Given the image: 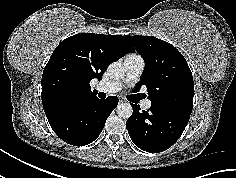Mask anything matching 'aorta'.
Returning <instances> with one entry per match:
<instances>
[{
    "mask_svg": "<svg viewBox=\"0 0 236 178\" xmlns=\"http://www.w3.org/2000/svg\"><path fill=\"white\" fill-rule=\"evenodd\" d=\"M108 72L114 79H121L124 77L125 69L120 62H113L108 66ZM119 117L128 119L133 113L132 106L129 103H121L116 110Z\"/></svg>",
    "mask_w": 236,
    "mask_h": 178,
    "instance_id": "762f6f07",
    "label": "aorta"
}]
</instances>
